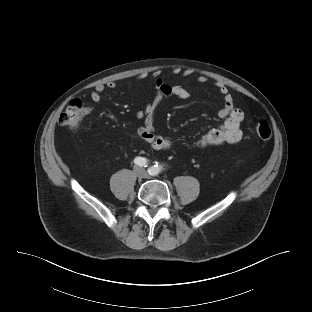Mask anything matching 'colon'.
Returning a JSON list of instances; mask_svg holds the SVG:
<instances>
[{"label": "colon", "instance_id": "colon-1", "mask_svg": "<svg viewBox=\"0 0 312 312\" xmlns=\"http://www.w3.org/2000/svg\"><path fill=\"white\" fill-rule=\"evenodd\" d=\"M87 106L80 100H72L59 118V124L68 129H76L87 114ZM255 131L262 140H269L272 136L270 124L267 120H255Z\"/></svg>", "mask_w": 312, "mask_h": 312}]
</instances>
